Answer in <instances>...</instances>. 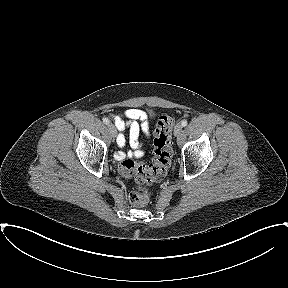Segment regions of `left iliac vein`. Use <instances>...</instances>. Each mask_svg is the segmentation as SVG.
<instances>
[{
	"label": "left iliac vein",
	"instance_id": "obj_1",
	"mask_svg": "<svg viewBox=\"0 0 288 288\" xmlns=\"http://www.w3.org/2000/svg\"><path fill=\"white\" fill-rule=\"evenodd\" d=\"M181 131H182V125L177 124L174 128V135L179 136L181 134Z\"/></svg>",
	"mask_w": 288,
	"mask_h": 288
}]
</instances>
